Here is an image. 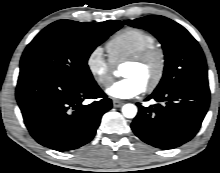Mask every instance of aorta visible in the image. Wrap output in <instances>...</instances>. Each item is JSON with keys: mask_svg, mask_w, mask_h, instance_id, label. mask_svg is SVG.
I'll return each mask as SVG.
<instances>
[{"mask_svg": "<svg viewBox=\"0 0 220 173\" xmlns=\"http://www.w3.org/2000/svg\"><path fill=\"white\" fill-rule=\"evenodd\" d=\"M122 114L126 118H134L137 114V107L134 104H125L122 107Z\"/></svg>", "mask_w": 220, "mask_h": 173, "instance_id": "762f6f07", "label": "aorta"}]
</instances>
